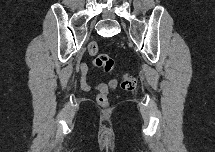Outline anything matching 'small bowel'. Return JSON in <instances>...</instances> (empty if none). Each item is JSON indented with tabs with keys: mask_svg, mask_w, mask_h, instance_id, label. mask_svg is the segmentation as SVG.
Listing matches in <instances>:
<instances>
[{
	"mask_svg": "<svg viewBox=\"0 0 215 152\" xmlns=\"http://www.w3.org/2000/svg\"><path fill=\"white\" fill-rule=\"evenodd\" d=\"M82 72H83V77H82V80H81V85H82V88L84 90H90L91 87L90 85L87 84L86 80H85V73H86V67H83L82 68ZM117 85V82L116 80H112L109 84V86L111 88L115 87ZM94 90L96 91H100V92H105L108 90V86L104 83H99V84H96L94 87H93Z\"/></svg>",
	"mask_w": 215,
	"mask_h": 152,
	"instance_id": "obj_1",
	"label": "small bowel"
}]
</instances>
